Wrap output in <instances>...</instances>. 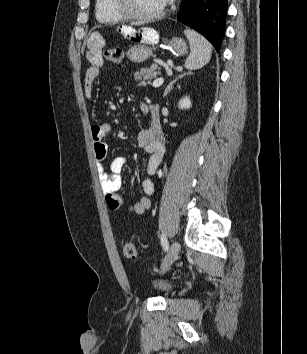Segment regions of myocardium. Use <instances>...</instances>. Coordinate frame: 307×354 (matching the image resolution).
<instances>
[{
  "mask_svg": "<svg viewBox=\"0 0 307 354\" xmlns=\"http://www.w3.org/2000/svg\"><path fill=\"white\" fill-rule=\"evenodd\" d=\"M113 10L123 19L127 20H141V21H152L161 18L167 7V2L165 1L161 9L157 12L150 14H140L133 12L128 6V0H111Z\"/></svg>",
  "mask_w": 307,
  "mask_h": 354,
  "instance_id": "f54148a6",
  "label": "myocardium"
}]
</instances>
